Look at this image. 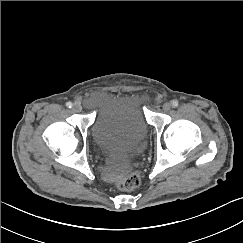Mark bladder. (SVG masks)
<instances>
[{"mask_svg": "<svg viewBox=\"0 0 243 243\" xmlns=\"http://www.w3.org/2000/svg\"><path fill=\"white\" fill-rule=\"evenodd\" d=\"M90 134L97 153L120 169L138 158L148 139L138 105L120 96H114L96 111Z\"/></svg>", "mask_w": 243, "mask_h": 243, "instance_id": "obj_1", "label": "bladder"}]
</instances>
